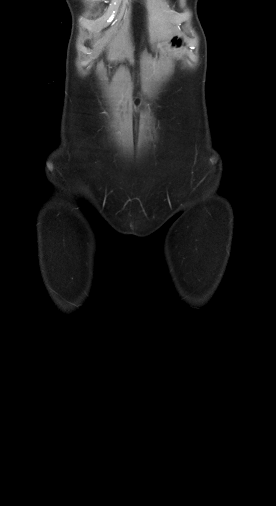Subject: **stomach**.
I'll use <instances>...</instances> for the list:
<instances>
[{"mask_svg":"<svg viewBox=\"0 0 276 506\" xmlns=\"http://www.w3.org/2000/svg\"><path fill=\"white\" fill-rule=\"evenodd\" d=\"M168 45L175 50H179L185 46V40L181 35H173L168 41Z\"/></svg>","mask_w":276,"mask_h":506,"instance_id":"obj_1","label":"stomach"}]
</instances>
